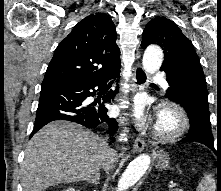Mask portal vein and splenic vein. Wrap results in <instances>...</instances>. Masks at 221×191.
<instances>
[{
  "instance_id": "1",
  "label": "portal vein and splenic vein",
  "mask_w": 221,
  "mask_h": 191,
  "mask_svg": "<svg viewBox=\"0 0 221 191\" xmlns=\"http://www.w3.org/2000/svg\"><path fill=\"white\" fill-rule=\"evenodd\" d=\"M176 186H178V184H177V183H174V182H171V183L168 185L169 188H174V187H176Z\"/></svg>"
}]
</instances>
